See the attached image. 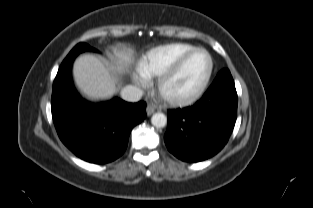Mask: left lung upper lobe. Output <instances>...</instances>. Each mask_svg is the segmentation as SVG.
<instances>
[{
  "label": "left lung upper lobe",
  "instance_id": "5c2ea615",
  "mask_svg": "<svg viewBox=\"0 0 313 208\" xmlns=\"http://www.w3.org/2000/svg\"><path fill=\"white\" fill-rule=\"evenodd\" d=\"M217 76L233 81V78H232L230 71L228 69L222 70L221 72H219V74Z\"/></svg>",
  "mask_w": 313,
  "mask_h": 208
}]
</instances>
